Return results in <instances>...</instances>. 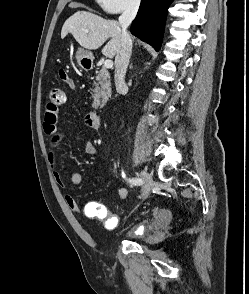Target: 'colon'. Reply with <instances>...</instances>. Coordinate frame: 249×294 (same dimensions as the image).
Returning a JSON list of instances; mask_svg holds the SVG:
<instances>
[{"label":"colon","instance_id":"5ec220e1","mask_svg":"<svg viewBox=\"0 0 249 294\" xmlns=\"http://www.w3.org/2000/svg\"><path fill=\"white\" fill-rule=\"evenodd\" d=\"M60 72L65 73L64 70H60ZM64 99V91L61 88L54 87L49 90V105L58 106L64 102Z\"/></svg>","mask_w":249,"mask_h":294}]
</instances>
